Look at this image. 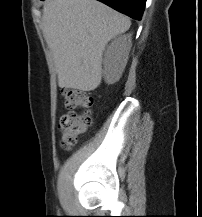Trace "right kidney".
I'll return each instance as SVG.
<instances>
[{"mask_svg": "<svg viewBox=\"0 0 202 217\" xmlns=\"http://www.w3.org/2000/svg\"><path fill=\"white\" fill-rule=\"evenodd\" d=\"M131 46V34H127L114 38L107 47L103 60L106 83L113 84L120 79L127 64Z\"/></svg>", "mask_w": 202, "mask_h": 217, "instance_id": "1", "label": "right kidney"}]
</instances>
